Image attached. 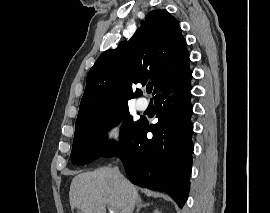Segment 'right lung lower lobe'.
Here are the masks:
<instances>
[{
  "instance_id": "1",
  "label": "right lung lower lobe",
  "mask_w": 270,
  "mask_h": 213,
  "mask_svg": "<svg viewBox=\"0 0 270 213\" xmlns=\"http://www.w3.org/2000/svg\"><path fill=\"white\" fill-rule=\"evenodd\" d=\"M192 71L154 97L156 124L139 120L138 125L104 157H119L129 180L141 187L165 191L182 207L187 200L192 166L193 125L190 117ZM147 132L153 137L148 139Z\"/></svg>"
}]
</instances>
